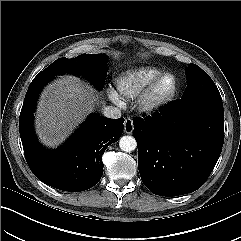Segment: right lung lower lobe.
<instances>
[{"label": "right lung lower lobe", "instance_id": "1", "mask_svg": "<svg viewBox=\"0 0 241 241\" xmlns=\"http://www.w3.org/2000/svg\"><path fill=\"white\" fill-rule=\"evenodd\" d=\"M47 81H32L21 109L19 129L26 161L33 174L51 187L87 190L101 179L102 155L122 135L124 119L93 114L62 147L48 150L38 143L32 125L37 97Z\"/></svg>", "mask_w": 241, "mask_h": 241}]
</instances>
